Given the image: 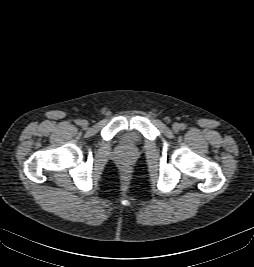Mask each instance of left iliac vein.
Returning <instances> with one entry per match:
<instances>
[{"label":"left iliac vein","mask_w":254,"mask_h":267,"mask_svg":"<svg viewBox=\"0 0 254 267\" xmlns=\"http://www.w3.org/2000/svg\"><path fill=\"white\" fill-rule=\"evenodd\" d=\"M172 128L175 132H178L180 130V125L178 123H175L173 124Z\"/></svg>","instance_id":"obj_1"}]
</instances>
